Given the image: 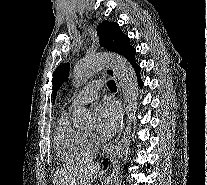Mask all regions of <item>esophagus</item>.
<instances>
[{
	"label": "esophagus",
	"mask_w": 207,
	"mask_h": 185,
	"mask_svg": "<svg viewBox=\"0 0 207 185\" xmlns=\"http://www.w3.org/2000/svg\"><path fill=\"white\" fill-rule=\"evenodd\" d=\"M105 72L117 81L116 75L114 72V67H105ZM117 118H118L117 128H126V124H127V119H125L126 115L125 114H118ZM122 135H123V132L119 131L117 138L114 140L111 148L109 149V151L106 155V160H101V162H100L101 163V166H100L101 173H108L109 157H114L116 144L119 140V137Z\"/></svg>",
	"instance_id": "esophagus-1"
}]
</instances>
